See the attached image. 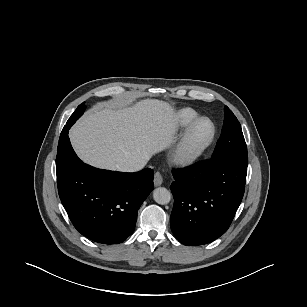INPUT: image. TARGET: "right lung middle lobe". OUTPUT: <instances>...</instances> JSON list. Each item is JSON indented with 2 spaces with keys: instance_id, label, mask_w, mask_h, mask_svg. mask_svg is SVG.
<instances>
[{
  "instance_id": "right-lung-middle-lobe-1",
  "label": "right lung middle lobe",
  "mask_w": 307,
  "mask_h": 307,
  "mask_svg": "<svg viewBox=\"0 0 307 307\" xmlns=\"http://www.w3.org/2000/svg\"><path fill=\"white\" fill-rule=\"evenodd\" d=\"M84 110H85V105L84 103H82L78 106V108L74 111V113L68 119L63 129H70V127L75 123V121L84 113ZM61 140H62V136H60L59 142Z\"/></svg>"
}]
</instances>
